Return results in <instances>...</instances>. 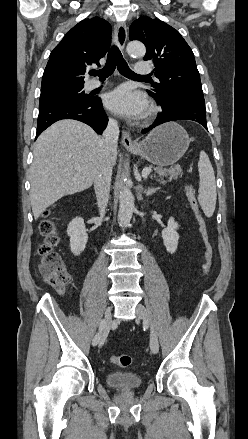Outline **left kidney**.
<instances>
[{
	"instance_id": "left-kidney-1",
	"label": "left kidney",
	"mask_w": 248,
	"mask_h": 439,
	"mask_svg": "<svg viewBox=\"0 0 248 439\" xmlns=\"http://www.w3.org/2000/svg\"><path fill=\"white\" fill-rule=\"evenodd\" d=\"M179 225L174 218H169L167 227L162 230V238L166 250L173 254L177 250L179 234L177 233Z\"/></svg>"
}]
</instances>
